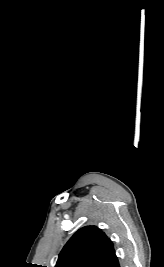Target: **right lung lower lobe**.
I'll use <instances>...</instances> for the list:
<instances>
[{"label":"right lung lower lobe","mask_w":164,"mask_h":267,"mask_svg":"<svg viewBox=\"0 0 164 267\" xmlns=\"http://www.w3.org/2000/svg\"><path fill=\"white\" fill-rule=\"evenodd\" d=\"M100 267H120L118 259L116 255L111 257L109 260H107L104 264H102Z\"/></svg>","instance_id":"98d812e1"}]
</instances>
